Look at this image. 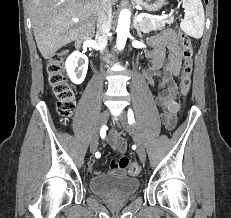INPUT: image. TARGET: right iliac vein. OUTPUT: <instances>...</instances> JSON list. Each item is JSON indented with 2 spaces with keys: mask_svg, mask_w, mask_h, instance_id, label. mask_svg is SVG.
Returning <instances> with one entry per match:
<instances>
[{
  "mask_svg": "<svg viewBox=\"0 0 231 218\" xmlns=\"http://www.w3.org/2000/svg\"><path fill=\"white\" fill-rule=\"evenodd\" d=\"M108 117H109V112L107 110H104L99 116L96 132H95V134L91 140V143H90V151L92 153H94L97 149L99 130L106 124Z\"/></svg>",
  "mask_w": 231,
  "mask_h": 218,
  "instance_id": "1",
  "label": "right iliac vein"
}]
</instances>
